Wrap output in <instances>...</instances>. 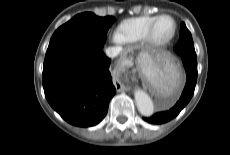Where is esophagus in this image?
Segmentation results:
<instances>
[{
  "label": "esophagus",
  "mask_w": 230,
  "mask_h": 155,
  "mask_svg": "<svg viewBox=\"0 0 230 155\" xmlns=\"http://www.w3.org/2000/svg\"><path fill=\"white\" fill-rule=\"evenodd\" d=\"M119 66L124 67V64L120 63ZM114 84H115L117 92L124 91V90L128 89V87L125 86L123 83H121V81L119 79H115Z\"/></svg>",
  "instance_id": "1"
}]
</instances>
